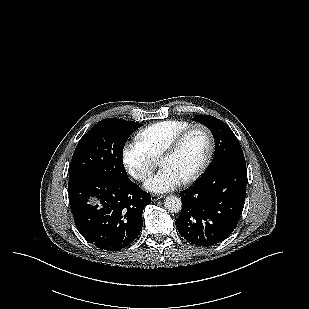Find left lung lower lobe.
<instances>
[{
	"label": "left lung lower lobe",
	"instance_id": "1",
	"mask_svg": "<svg viewBox=\"0 0 309 309\" xmlns=\"http://www.w3.org/2000/svg\"><path fill=\"white\" fill-rule=\"evenodd\" d=\"M244 157L226 160L180 193L182 210L176 227L188 242L212 246L226 239L236 228L246 195Z\"/></svg>",
	"mask_w": 309,
	"mask_h": 309
}]
</instances>
